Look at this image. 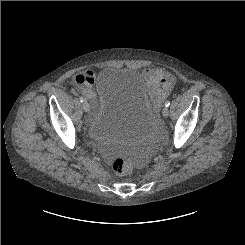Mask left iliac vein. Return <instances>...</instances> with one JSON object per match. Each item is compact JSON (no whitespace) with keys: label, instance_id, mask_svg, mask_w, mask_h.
Segmentation results:
<instances>
[{"label":"left iliac vein","instance_id":"1","mask_svg":"<svg viewBox=\"0 0 245 245\" xmlns=\"http://www.w3.org/2000/svg\"><path fill=\"white\" fill-rule=\"evenodd\" d=\"M162 115H163L164 117H167V116L169 115V110H168L167 107L163 108V110H162Z\"/></svg>","mask_w":245,"mask_h":245}]
</instances>
